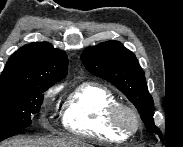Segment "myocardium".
Wrapping results in <instances>:
<instances>
[{
  "mask_svg": "<svg viewBox=\"0 0 183 147\" xmlns=\"http://www.w3.org/2000/svg\"><path fill=\"white\" fill-rule=\"evenodd\" d=\"M131 115L133 122L127 124L123 119V114ZM108 122L115 130L132 135L136 133L142 125V121L138 111L126 103L117 102L112 105L108 111Z\"/></svg>",
  "mask_w": 183,
  "mask_h": 147,
  "instance_id": "1",
  "label": "myocardium"
}]
</instances>
